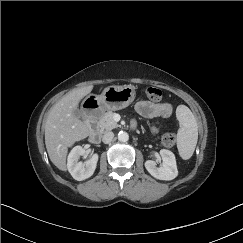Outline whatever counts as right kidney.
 Instances as JSON below:
<instances>
[{
    "label": "right kidney",
    "instance_id": "right-kidney-1",
    "mask_svg": "<svg viewBox=\"0 0 243 243\" xmlns=\"http://www.w3.org/2000/svg\"><path fill=\"white\" fill-rule=\"evenodd\" d=\"M84 153L85 149L82 146H75L68 155V171L77 181H82L91 177L97 166L98 154H94L85 162L78 161L79 157Z\"/></svg>",
    "mask_w": 243,
    "mask_h": 243
}]
</instances>
